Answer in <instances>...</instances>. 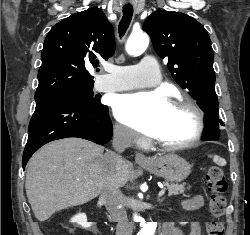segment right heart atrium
Returning a JSON list of instances; mask_svg holds the SVG:
<instances>
[{
  "label": "right heart atrium",
  "instance_id": "right-heart-atrium-1",
  "mask_svg": "<svg viewBox=\"0 0 250 235\" xmlns=\"http://www.w3.org/2000/svg\"><path fill=\"white\" fill-rule=\"evenodd\" d=\"M113 132L115 138L123 144L132 145L143 142L139 135L121 123L114 124Z\"/></svg>",
  "mask_w": 250,
  "mask_h": 235
}]
</instances>
